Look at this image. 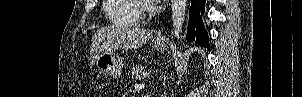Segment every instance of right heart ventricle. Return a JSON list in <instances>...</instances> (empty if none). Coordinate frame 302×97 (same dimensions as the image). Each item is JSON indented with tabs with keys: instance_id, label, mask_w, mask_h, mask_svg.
Here are the masks:
<instances>
[{
	"instance_id": "obj_1",
	"label": "right heart ventricle",
	"mask_w": 302,
	"mask_h": 97,
	"mask_svg": "<svg viewBox=\"0 0 302 97\" xmlns=\"http://www.w3.org/2000/svg\"><path fill=\"white\" fill-rule=\"evenodd\" d=\"M135 0H106L104 13L112 25L133 27L139 24Z\"/></svg>"
}]
</instances>
